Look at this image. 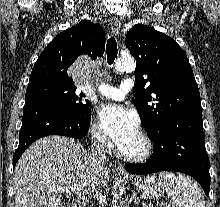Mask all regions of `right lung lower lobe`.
Instances as JSON below:
<instances>
[{"label": "right lung lower lobe", "mask_w": 220, "mask_h": 207, "mask_svg": "<svg viewBox=\"0 0 220 207\" xmlns=\"http://www.w3.org/2000/svg\"><path fill=\"white\" fill-rule=\"evenodd\" d=\"M91 112L76 115L51 104L34 101L25 103L20 141L13 157V164L35 140L48 135H63L81 139L88 134Z\"/></svg>", "instance_id": "1"}]
</instances>
